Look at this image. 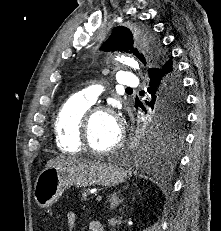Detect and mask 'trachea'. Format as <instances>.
Listing matches in <instances>:
<instances>
[{"label":"trachea","mask_w":221,"mask_h":231,"mask_svg":"<svg viewBox=\"0 0 221 231\" xmlns=\"http://www.w3.org/2000/svg\"><path fill=\"white\" fill-rule=\"evenodd\" d=\"M126 90H130V91H132V88H126Z\"/></svg>","instance_id":"trachea-1"}]
</instances>
